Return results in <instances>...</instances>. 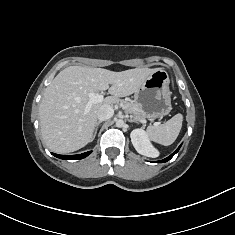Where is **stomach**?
<instances>
[{
  "mask_svg": "<svg viewBox=\"0 0 235 235\" xmlns=\"http://www.w3.org/2000/svg\"><path fill=\"white\" fill-rule=\"evenodd\" d=\"M169 82L168 73L165 70H157L135 92L134 103L147 118H162L171 111Z\"/></svg>",
  "mask_w": 235,
  "mask_h": 235,
  "instance_id": "0dacf381",
  "label": "stomach"
}]
</instances>
